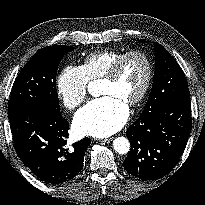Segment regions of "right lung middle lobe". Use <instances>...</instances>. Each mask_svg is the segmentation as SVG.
I'll return each mask as SVG.
<instances>
[{"mask_svg":"<svg viewBox=\"0 0 205 205\" xmlns=\"http://www.w3.org/2000/svg\"><path fill=\"white\" fill-rule=\"evenodd\" d=\"M71 46H48L40 49L16 77L8 107L29 105L61 115L56 89V73Z\"/></svg>","mask_w":205,"mask_h":205,"instance_id":"1","label":"right lung middle lobe"}]
</instances>
